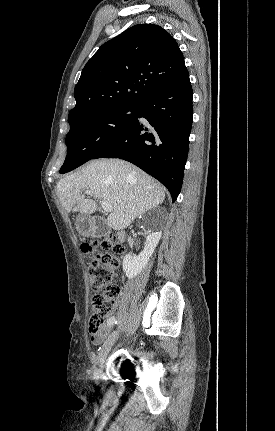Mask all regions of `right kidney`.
Segmentation results:
<instances>
[{
	"mask_svg": "<svg viewBox=\"0 0 275 431\" xmlns=\"http://www.w3.org/2000/svg\"><path fill=\"white\" fill-rule=\"evenodd\" d=\"M162 236L161 231H149L146 238L144 250L138 255L127 254L123 259V271L129 279L137 276L148 264L159 240Z\"/></svg>",
	"mask_w": 275,
	"mask_h": 431,
	"instance_id": "obj_1",
	"label": "right kidney"
}]
</instances>
